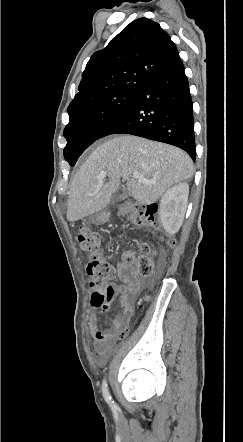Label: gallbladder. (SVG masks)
<instances>
[{
	"mask_svg": "<svg viewBox=\"0 0 243 442\" xmlns=\"http://www.w3.org/2000/svg\"><path fill=\"white\" fill-rule=\"evenodd\" d=\"M128 196V191L126 187L122 188V194L121 195H117L115 198L117 199H125Z\"/></svg>",
	"mask_w": 243,
	"mask_h": 442,
	"instance_id": "obj_1",
	"label": "gallbladder"
}]
</instances>
